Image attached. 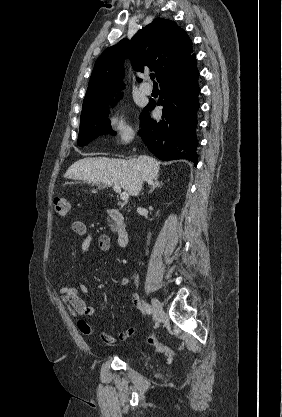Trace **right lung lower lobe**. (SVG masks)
I'll return each mask as SVG.
<instances>
[{
  "instance_id": "1",
  "label": "right lung lower lobe",
  "mask_w": 282,
  "mask_h": 417,
  "mask_svg": "<svg viewBox=\"0 0 282 417\" xmlns=\"http://www.w3.org/2000/svg\"><path fill=\"white\" fill-rule=\"evenodd\" d=\"M196 60L181 66L160 80L162 120L150 119L156 103L149 102L141 113L139 134L148 149L160 160L188 159L196 166L198 141L195 135L199 108Z\"/></svg>"
}]
</instances>
